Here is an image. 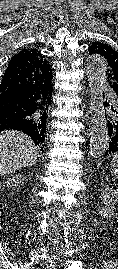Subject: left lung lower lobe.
Listing matches in <instances>:
<instances>
[{"label":"left lung lower lobe","instance_id":"obj_1","mask_svg":"<svg viewBox=\"0 0 118 269\" xmlns=\"http://www.w3.org/2000/svg\"><path fill=\"white\" fill-rule=\"evenodd\" d=\"M108 105V104H107ZM112 116L107 123L108 126V144L104 152L105 156L118 152V103L111 106Z\"/></svg>","mask_w":118,"mask_h":269}]
</instances>
